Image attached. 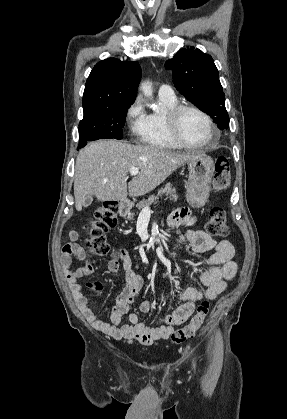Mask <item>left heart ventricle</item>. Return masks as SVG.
I'll list each match as a JSON object with an SVG mask.
<instances>
[{"mask_svg": "<svg viewBox=\"0 0 287 419\" xmlns=\"http://www.w3.org/2000/svg\"><path fill=\"white\" fill-rule=\"evenodd\" d=\"M179 131L184 140L200 144L210 137V129L205 119L195 111H184L179 118Z\"/></svg>", "mask_w": 287, "mask_h": 419, "instance_id": "obj_1", "label": "left heart ventricle"}]
</instances>
